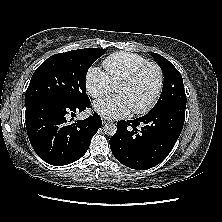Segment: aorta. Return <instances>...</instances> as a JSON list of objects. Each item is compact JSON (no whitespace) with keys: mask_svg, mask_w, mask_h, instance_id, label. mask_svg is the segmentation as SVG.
<instances>
[{"mask_svg":"<svg viewBox=\"0 0 222 222\" xmlns=\"http://www.w3.org/2000/svg\"><path fill=\"white\" fill-rule=\"evenodd\" d=\"M117 131V126L114 123H107L104 126V132L108 136H113Z\"/></svg>","mask_w":222,"mask_h":222,"instance_id":"1","label":"aorta"}]
</instances>
